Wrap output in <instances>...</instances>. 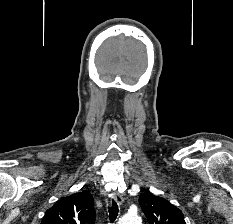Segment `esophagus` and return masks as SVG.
<instances>
[{"label": "esophagus", "mask_w": 233, "mask_h": 224, "mask_svg": "<svg viewBox=\"0 0 233 224\" xmlns=\"http://www.w3.org/2000/svg\"><path fill=\"white\" fill-rule=\"evenodd\" d=\"M113 199L119 204L121 205L123 203V197L121 194L119 193H115Z\"/></svg>", "instance_id": "obj_1"}]
</instances>
